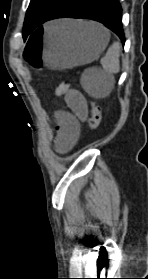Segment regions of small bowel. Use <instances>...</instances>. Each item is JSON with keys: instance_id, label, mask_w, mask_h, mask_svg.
<instances>
[{"instance_id": "small-bowel-1", "label": "small bowel", "mask_w": 148, "mask_h": 279, "mask_svg": "<svg viewBox=\"0 0 148 279\" xmlns=\"http://www.w3.org/2000/svg\"><path fill=\"white\" fill-rule=\"evenodd\" d=\"M66 101L71 112L60 111L56 115L57 136L55 143L60 153L68 152L75 146L80 135V121L87 117V105L79 92L67 93Z\"/></svg>"}]
</instances>
